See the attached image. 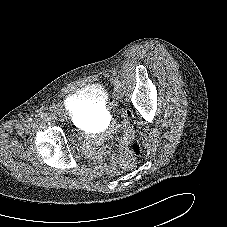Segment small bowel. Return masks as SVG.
<instances>
[{"label": "small bowel", "mask_w": 227, "mask_h": 227, "mask_svg": "<svg viewBox=\"0 0 227 227\" xmlns=\"http://www.w3.org/2000/svg\"><path fill=\"white\" fill-rule=\"evenodd\" d=\"M87 149H89L88 146H87ZM117 164H118V159L113 158L110 163L104 165V168L108 173L115 174L117 172Z\"/></svg>", "instance_id": "small-bowel-1"}]
</instances>
